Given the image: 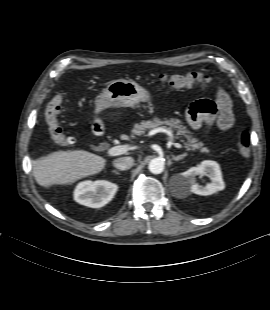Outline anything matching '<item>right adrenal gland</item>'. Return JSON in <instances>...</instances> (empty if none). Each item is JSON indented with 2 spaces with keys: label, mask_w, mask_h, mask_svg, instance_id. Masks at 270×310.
Returning a JSON list of instances; mask_svg holds the SVG:
<instances>
[{
  "label": "right adrenal gland",
  "mask_w": 270,
  "mask_h": 310,
  "mask_svg": "<svg viewBox=\"0 0 270 310\" xmlns=\"http://www.w3.org/2000/svg\"><path fill=\"white\" fill-rule=\"evenodd\" d=\"M112 172L115 173L116 175H120V173L116 170H113Z\"/></svg>",
  "instance_id": "right-adrenal-gland-1"
}]
</instances>
